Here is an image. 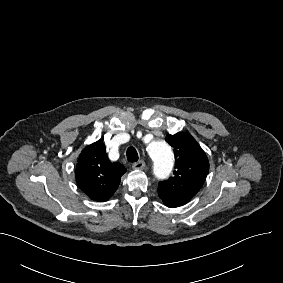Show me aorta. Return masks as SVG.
Returning a JSON list of instances; mask_svg holds the SVG:
<instances>
[{"label": "aorta", "mask_w": 283, "mask_h": 283, "mask_svg": "<svg viewBox=\"0 0 283 283\" xmlns=\"http://www.w3.org/2000/svg\"><path fill=\"white\" fill-rule=\"evenodd\" d=\"M148 153L154 163L155 176L158 178L168 177L174 164L171 147L165 141H154L149 145Z\"/></svg>", "instance_id": "762f6f07"}]
</instances>
